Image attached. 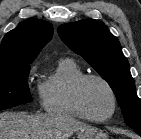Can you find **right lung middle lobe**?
Listing matches in <instances>:
<instances>
[{
    "label": "right lung middle lobe",
    "mask_w": 141,
    "mask_h": 139,
    "mask_svg": "<svg viewBox=\"0 0 141 139\" xmlns=\"http://www.w3.org/2000/svg\"><path fill=\"white\" fill-rule=\"evenodd\" d=\"M29 72V64L0 66V111L32 101Z\"/></svg>",
    "instance_id": "obj_1"
}]
</instances>
